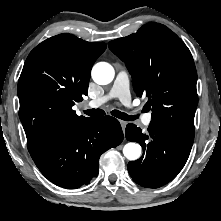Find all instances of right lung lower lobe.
<instances>
[{"label": "right lung lower lobe", "mask_w": 221, "mask_h": 221, "mask_svg": "<svg viewBox=\"0 0 221 221\" xmlns=\"http://www.w3.org/2000/svg\"><path fill=\"white\" fill-rule=\"evenodd\" d=\"M123 138L117 119L88 118L56 132L30 155L49 181L76 189L98 175L101 154L118 146Z\"/></svg>", "instance_id": "1"}]
</instances>
